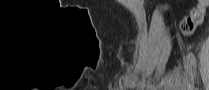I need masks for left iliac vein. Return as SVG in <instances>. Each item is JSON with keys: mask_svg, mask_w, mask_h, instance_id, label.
Segmentation results:
<instances>
[{"mask_svg": "<svg viewBox=\"0 0 209 90\" xmlns=\"http://www.w3.org/2000/svg\"><path fill=\"white\" fill-rule=\"evenodd\" d=\"M185 69H186V71L188 72V74L190 75V77H191V79L193 78V73H192V70H191V66H190V63L187 61L186 63H185Z\"/></svg>", "mask_w": 209, "mask_h": 90, "instance_id": "left-iliac-vein-1", "label": "left iliac vein"}]
</instances>
